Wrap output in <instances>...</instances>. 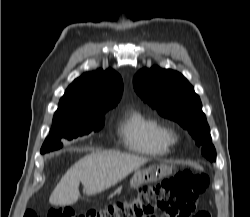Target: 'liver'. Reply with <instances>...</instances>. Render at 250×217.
Segmentation results:
<instances>
[{
  "mask_svg": "<svg viewBox=\"0 0 250 217\" xmlns=\"http://www.w3.org/2000/svg\"><path fill=\"white\" fill-rule=\"evenodd\" d=\"M146 162V158L118 152L88 154L67 170L49 202L56 206L72 205L80 197V182L87 195H94L114 186Z\"/></svg>",
  "mask_w": 250,
  "mask_h": 217,
  "instance_id": "liver-1",
  "label": "liver"
}]
</instances>
